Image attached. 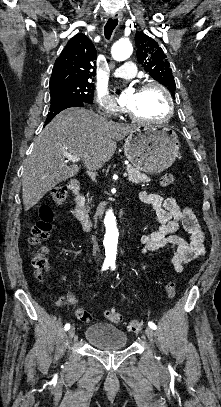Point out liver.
Returning <instances> with one entry per match:
<instances>
[{"mask_svg": "<svg viewBox=\"0 0 221 407\" xmlns=\"http://www.w3.org/2000/svg\"><path fill=\"white\" fill-rule=\"evenodd\" d=\"M135 125L107 121L85 108H69L46 125L26 159L22 176L24 210L35 206L57 184L74 177L81 165H67L64 153L82 159L89 171L100 169L114 155L117 141Z\"/></svg>", "mask_w": 221, "mask_h": 407, "instance_id": "obj_1", "label": "liver"}]
</instances>
